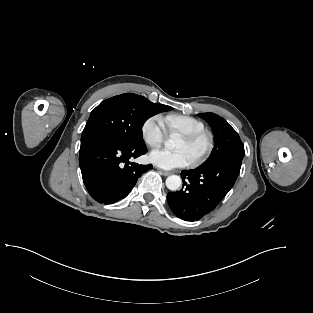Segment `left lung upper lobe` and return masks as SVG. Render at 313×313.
<instances>
[{
	"instance_id": "left-lung-upper-lobe-1",
	"label": "left lung upper lobe",
	"mask_w": 313,
	"mask_h": 313,
	"mask_svg": "<svg viewBox=\"0 0 313 313\" xmlns=\"http://www.w3.org/2000/svg\"><path fill=\"white\" fill-rule=\"evenodd\" d=\"M206 120L214 134L215 147L203 164H210L227 159L242 160L245 151L238 133L222 117L214 113L198 114Z\"/></svg>"
}]
</instances>
